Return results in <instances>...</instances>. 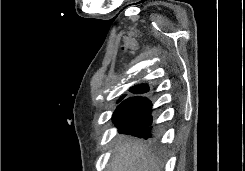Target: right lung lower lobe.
<instances>
[{
    "label": "right lung lower lobe",
    "mask_w": 245,
    "mask_h": 171,
    "mask_svg": "<svg viewBox=\"0 0 245 171\" xmlns=\"http://www.w3.org/2000/svg\"><path fill=\"white\" fill-rule=\"evenodd\" d=\"M151 101L145 97H136L121 103L113 114L118 131L140 138L151 137Z\"/></svg>",
    "instance_id": "obj_1"
}]
</instances>
